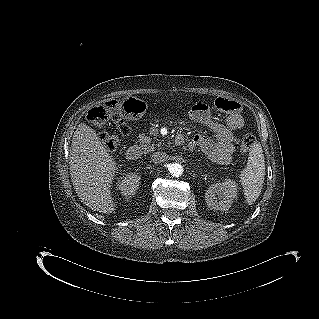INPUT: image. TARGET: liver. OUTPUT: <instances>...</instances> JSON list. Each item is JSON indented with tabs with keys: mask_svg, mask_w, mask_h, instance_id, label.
Here are the masks:
<instances>
[{
	"mask_svg": "<svg viewBox=\"0 0 319 319\" xmlns=\"http://www.w3.org/2000/svg\"><path fill=\"white\" fill-rule=\"evenodd\" d=\"M69 164L71 180L81 201L92 210L111 213L115 204L110 184L117 166L95 131L84 123L74 132Z\"/></svg>",
	"mask_w": 319,
	"mask_h": 319,
	"instance_id": "6515ba94",
	"label": "liver"
}]
</instances>
